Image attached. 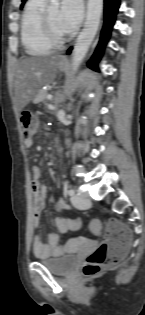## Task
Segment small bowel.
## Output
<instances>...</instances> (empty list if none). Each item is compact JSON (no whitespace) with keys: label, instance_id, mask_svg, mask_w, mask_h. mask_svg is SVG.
I'll use <instances>...</instances> for the list:
<instances>
[{"label":"small bowel","instance_id":"c3829d8e","mask_svg":"<svg viewBox=\"0 0 145 315\" xmlns=\"http://www.w3.org/2000/svg\"><path fill=\"white\" fill-rule=\"evenodd\" d=\"M34 144L32 138L25 140V147L31 148ZM41 170L38 166L31 168V191L33 194V226L38 227L40 224V216L45 207V200L48 194V189L40 182ZM58 207L61 210H70L69 205L64 199H59ZM57 230L61 233H66L70 230H77L81 225V220L78 217L62 218L57 217L54 220ZM33 252L35 256L39 258H45L49 256H61L64 253V248L60 245V236L56 233H49L47 240L44 241L40 235L33 237Z\"/></svg>","mask_w":145,"mask_h":315}]
</instances>
